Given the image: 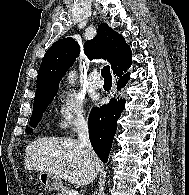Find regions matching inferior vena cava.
Segmentation results:
<instances>
[{
  "label": "inferior vena cava",
  "instance_id": "602c4592",
  "mask_svg": "<svg viewBox=\"0 0 189 195\" xmlns=\"http://www.w3.org/2000/svg\"><path fill=\"white\" fill-rule=\"evenodd\" d=\"M75 125L78 134V140L81 145L84 146L89 153H94L89 140V129L87 121L84 118H78Z\"/></svg>",
  "mask_w": 189,
  "mask_h": 195
}]
</instances>
